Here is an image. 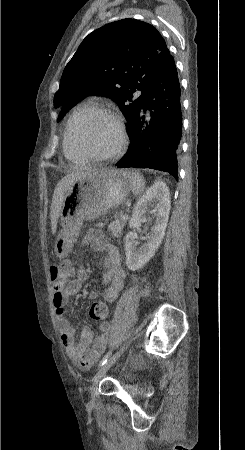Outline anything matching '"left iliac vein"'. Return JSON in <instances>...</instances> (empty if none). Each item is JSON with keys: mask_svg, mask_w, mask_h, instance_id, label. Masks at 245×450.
I'll use <instances>...</instances> for the list:
<instances>
[{"mask_svg": "<svg viewBox=\"0 0 245 450\" xmlns=\"http://www.w3.org/2000/svg\"><path fill=\"white\" fill-rule=\"evenodd\" d=\"M128 344H124L119 351H117L114 355H112L107 362L100 368V370L96 373V375L93 378L92 385L90 387L92 398L95 396V391L97 389L98 383L100 379L107 373L109 368L119 359V357L123 354V352L126 350Z\"/></svg>", "mask_w": 245, "mask_h": 450, "instance_id": "left-iliac-vein-1", "label": "left iliac vein"}]
</instances>
